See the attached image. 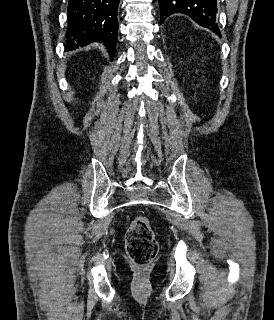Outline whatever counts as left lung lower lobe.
Returning <instances> with one entry per match:
<instances>
[{"label": "left lung lower lobe", "mask_w": 274, "mask_h": 320, "mask_svg": "<svg viewBox=\"0 0 274 320\" xmlns=\"http://www.w3.org/2000/svg\"><path fill=\"white\" fill-rule=\"evenodd\" d=\"M160 21L174 13H183L190 16L199 25L209 28L220 35L216 23V0H159Z\"/></svg>", "instance_id": "obj_1"}]
</instances>
